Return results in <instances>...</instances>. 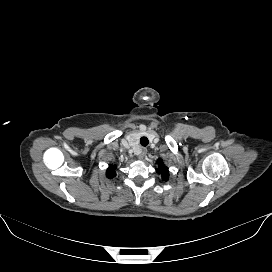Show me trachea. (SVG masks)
<instances>
[{"label": "trachea", "mask_w": 272, "mask_h": 272, "mask_svg": "<svg viewBox=\"0 0 272 272\" xmlns=\"http://www.w3.org/2000/svg\"><path fill=\"white\" fill-rule=\"evenodd\" d=\"M148 143H149V140H148L147 137H141V139H140V144H141L142 146L146 147V146L148 145Z\"/></svg>", "instance_id": "1"}]
</instances>
